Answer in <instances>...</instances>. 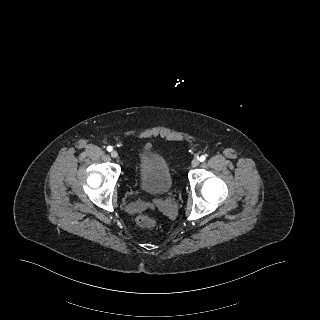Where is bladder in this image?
I'll list each match as a JSON object with an SVG mask.
<instances>
[{
  "label": "bladder",
  "mask_w": 320,
  "mask_h": 320,
  "mask_svg": "<svg viewBox=\"0 0 320 320\" xmlns=\"http://www.w3.org/2000/svg\"><path fill=\"white\" fill-rule=\"evenodd\" d=\"M136 183L141 193L163 196L171 192L173 177L166 159L149 147L142 148L137 157Z\"/></svg>",
  "instance_id": "bladder-1"
}]
</instances>
